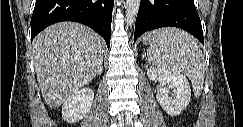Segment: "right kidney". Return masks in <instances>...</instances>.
Masks as SVG:
<instances>
[{
    "instance_id": "obj_1",
    "label": "right kidney",
    "mask_w": 243,
    "mask_h": 127,
    "mask_svg": "<svg viewBox=\"0 0 243 127\" xmlns=\"http://www.w3.org/2000/svg\"><path fill=\"white\" fill-rule=\"evenodd\" d=\"M94 92L82 88L74 92L62 106V117L68 123H76L89 113L93 104Z\"/></svg>"
}]
</instances>
